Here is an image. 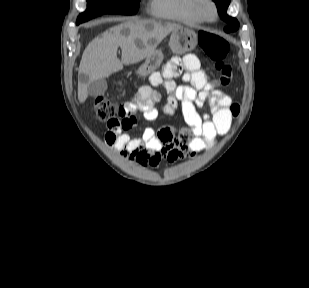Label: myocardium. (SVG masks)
Returning <instances> with one entry per match:
<instances>
[{"instance_id":"1","label":"myocardium","mask_w":309,"mask_h":288,"mask_svg":"<svg viewBox=\"0 0 309 288\" xmlns=\"http://www.w3.org/2000/svg\"><path fill=\"white\" fill-rule=\"evenodd\" d=\"M210 7L213 11L212 16H208L205 12V8ZM195 13L201 21L215 22L219 17V8L215 0H195L194 5Z\"/></svg>"}]
</instances>
